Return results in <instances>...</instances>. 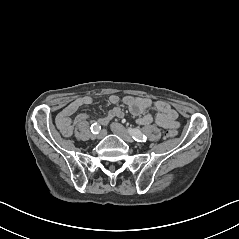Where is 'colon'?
Segmentation results:
<instances>
[{
	"label": "colon",
	"mask_w": 239,
	"mask_h": 239,
	"mask_svg": "<svg viewBox=\"0 0 239 239\" xmlns=\"http://www.w3.org/2000/svg\"><path fill=\"white\" fill-rule=\"evenodd\" d=\"M177 134V131L176 129L172 128L171 130L168 131L167 133V136L166 137H169V138H172V137H175Z\"/></svg>",
	"instance_id": "1"
}]
</instances>
